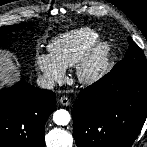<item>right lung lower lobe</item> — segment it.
I'll return each instance as SVG.
<instances>
[{
  "instance_id": "1",
  "label": "right lung lower lobe",
  "mask_w": 147,
  "mask_h": 147,
  "mask_svg": "<svg viewBox=\"0 0 147 147\" xmlns=\"http://www.w3.org/2000/svg\"><path fill=\"white\" fill-rule=\"evenodd\" d=\"M55 94L20 81L0 90V147H43Z\"/></svg>"
}]
</instances>
